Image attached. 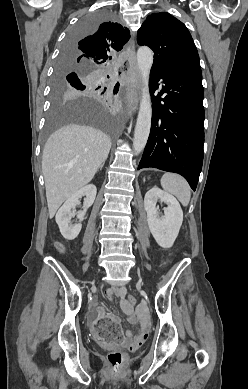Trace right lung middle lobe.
I'll return each mask as SVG.
<instances>
[{
    "label": "right lung middle lobe",
    "instance_id": "right-lung-middle-lobe-1",
    "mask_svg": "<svg viewBox=\"0 0 248 389\" xmlns=\"http://www.w3.org/2000/svg\"><path fill=\"white\" fill-rule=\"evenodd\" d=\"M111 18V14L107 10H100L84 16L79 24L70 32L65 41L63 51L68 50L71 45L84 37L87 34L93 33L100 23H104ZM74 71V72H72ZM69 72V75H67ZM73 73H77V77H73ZM92 70L85 69L80 66L63 65V58L60 57L57 66V76L54 83V92L52 98L51 110L48 118V127L46 136L56 128L71 124V123H86L93 124L111 136H114L112 119L95 104L85 100L68 99L66 94L71 90L65 83L67 80L77 90L93 91L90 87ZM98 87L97 89H99ZM114 93H116L114 91Z\"/></svg>",
    "mask_w": 248,
    "mask_h": 389
}]
</instances>
